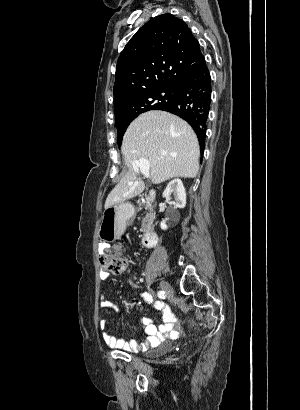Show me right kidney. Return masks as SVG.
Segmentation results:
<instances>
[{
	"label": "right kidney",
	"mask_w": 300,
	"mask_h": 410,
	"mask_svg": "<svg viewBox=\"0 0 300 410\" xmlns=\"http://www.w3.org/2000/svg\"><path fill=\"white\" fill-rule=\"evenodd\" d=\"M171 195L174 196V200L172 201V204L176 208H184L186 205V192L185 188L183 186V183L180 179H173L170 181L166 187V189L163 192V197L166 198L167 200L171 199ZM160 227L163 230L167 229L166 222L163 221L160 223Z\"/></svg>",
	"instance_id": "1"
}]
</instances>
